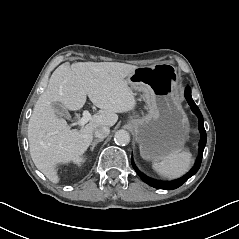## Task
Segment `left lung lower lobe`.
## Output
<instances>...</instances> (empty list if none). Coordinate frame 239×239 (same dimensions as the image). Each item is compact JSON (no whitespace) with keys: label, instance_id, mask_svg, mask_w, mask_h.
I'll return each mask as SVG.
<instances>
[{"label":"left lung lower lobe","instance_id":"obj_1","mask_svg":"<svg viewBox=\"0 0 239 239\" xmlns=\"http://www.w3.org/2000/svg\"><path fill=\"white\" fill-rule=\"evenodd\" d=\"M185 98L187 99L192 111L196 114V116L198 117V120H199V131L201 134V142H200V146H199V157H198L197 163H196L195 167L188 174H186L183 178L172 181V182H161V181H157L154 179H150V178L146 177L145 175H143L141 172H139L137 170V168L135 167L133 160L131 159L132 166L135 169V171L137 172V174L140 176V178L144 182H146L148 185H150L154 188L168 189V190L176 189V188L180 187L184 182H186L191 176H193L200 168L204 147L206 145V131L204 129L203 116H202L199 108L197 107V105L195 104V102L193 101V99L191 97V89L189 86H187L185 89Z\"/></svg>","mask_w":239,"mask_h":239}]
</instances>
